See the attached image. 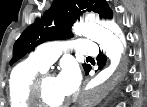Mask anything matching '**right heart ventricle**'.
Here are the masks:
<instances>
[{
    "label": "right heart ventricle",
    "mask_w": 147,
    "mask_h": 107,
    "mask_svg": "<svg viewBox=\"0 0 147 107\" xmlns=\"http://www.w3.org/2000/svg\"><path fill=\"white\" fill-rule=\"evenodd\" d=\"M46 70L45 67L27 59L11 72L9 80V100L11 107H32L29 103V91L35 77Z\"/></svg>",
    "instance_id": "right-heart-ventricle-1"
}]
</instances>
